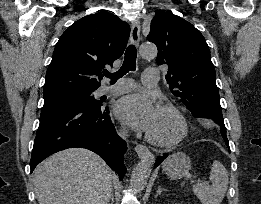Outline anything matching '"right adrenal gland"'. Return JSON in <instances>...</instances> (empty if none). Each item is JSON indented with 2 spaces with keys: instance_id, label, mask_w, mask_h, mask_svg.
<instances>
[{
  "instance_id": "2a0ac1e0",
  "label": "right adrenal gland",
  "mask_w": 261,
  "mask_h": 204,
  "mask_svg": "<svg viewBox=\"0 0 261 204\" xmlns=\"http://www.w3.org/2000/svg\"><path fill=\"white\" fill-rule=\"evenodd\" d=\"M111 200V204H113L114 202V196H113V193H111L110 197H109V201Z\"/></svg>"
}]
</instances>
